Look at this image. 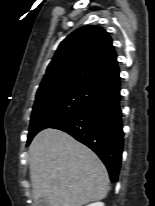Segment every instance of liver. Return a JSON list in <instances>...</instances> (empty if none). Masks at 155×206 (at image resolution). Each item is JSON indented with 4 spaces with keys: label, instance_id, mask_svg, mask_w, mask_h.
Returning <instances> with one entry per match:
<instances>
[{
    "label": "liver",
    "instance_id": "obj_1",
    "mask_svg": "<svg viewBox=\"0 0 155 206\" xmlns=\"http://www.w3.org/2000/svg\"><path fill=\"white\" fill-rule=\"evenodd\" d=\"M33 200L48 206H83L108 193L109 176L98 156L67 133L39 132L29 147Z\"/></svg>",
    "mask_w": 155,
    "mask_h": 206
}]
</instances>
